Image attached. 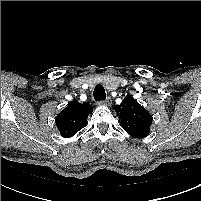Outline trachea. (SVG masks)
Listing matches in <instances>:
<instances>
[{"label":"trachea","mask_w":201,"mask_h":201,"mask_svg":"<svg viewBox=\"0 0 201 201\" xmlns=\"http://www.w3.org/2000/svg\"><path fill=\"white\" fill-rule=\"evenodd\" d=\"M93 96H94L95 101H102V100L106 99V93H105V89H104L103 85L97 84L95 86Z\"/></svg>","instance_id":"3493384b"}]
</instances>
